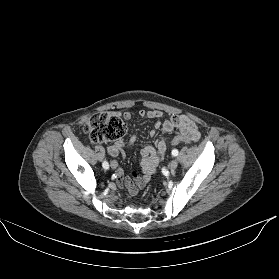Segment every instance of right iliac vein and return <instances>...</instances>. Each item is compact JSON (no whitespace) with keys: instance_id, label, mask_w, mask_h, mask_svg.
<instances>
[{"instance_id":"right-iliac-vein-1","label":"right iliac vein","mask_w":279,"mask_h":279,"mask_svg":"<svg viewBox=\"0 0 279 279\" xmlns=\"http://www.w3.org/2000/svg\"><path fill=\"white\" fill-rule=\"evenodd\" d=\"M110 166L111 168L115 169L118 166V163L116 161H112Z\"/></svg>"}]
</instances>
